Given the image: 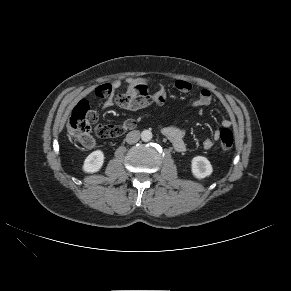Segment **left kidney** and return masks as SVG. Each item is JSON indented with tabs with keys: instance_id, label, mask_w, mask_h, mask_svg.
Listing matches in <instances>:
<instances>
[{
	"instance_id": "5707ae66",
	"label": "left kidney",
	"mask_w": 291,
	"mask_h": 291,
	"mask_svg": "<svg viewBox=\"0 0 291 291\" xmlns=\"http://www.w3.org/2000/svg\"><path fill=\"white\" fill-rule=\"evenodd\" d=\"M191 170L192 174L198 179L208 177L213 172L210 161L203 156H196L192 159Z\"/></svg>"
}]
</instances>
